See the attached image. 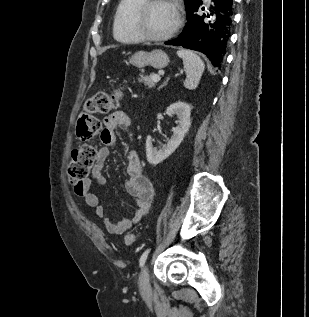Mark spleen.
I'll return each instance as SVG.
<instances>
[{"label": "spleen", "mask_w": 309, "mask_h": 317, "mask_svg": "<svg viewBox=\"0 0 309 317\" xmlns=\"http://www.w3.org/2000/svg\"><path fill=\"white\" fill-rule=\"evenodd\" d=\"M177 55L183 60L184 71L186 73L184 86L190 90L195 89L205 69L203 61L198 55L189 50L181 49L177 51Z\"/></svg>", "instance_id": "3e777b00"}]
</instances>
